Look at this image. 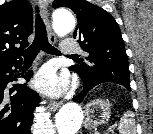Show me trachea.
I'll list each match as a JSON object with an SVG mask.
<instances>
[{
	"label": "trachea",
	"instance_id": "3493384b",
	"mask_svg": "<svg viewBox=\"0 0 153 134\" xmlns=\"http://www.w3.org/2000/svg\"><path fill=\"white\" fill-rule=\"evenodd\" d=\"M36 13L35 39L33 40V43L22 52L24 61L34 60L40 50L52 55H61V52L48 42L46 28L42 18L39 15L38 7H36ZM70 56L76 57L77 55Z\"/></svg>",
	"mask_w": 153,
	"mask_h": 134
}]
</instances>
